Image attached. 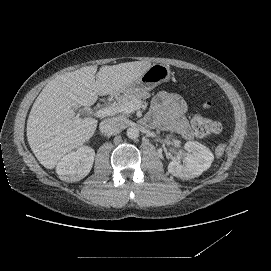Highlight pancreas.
<instances>
[{"label": "pancreas", "instance_id": "cf45deb5", "mask_svg": "<svg viewBox=\"0 0 271 271\" xmlns=\"http://www.w3.org/2000/svg\"><path fill=\"white\" fill-rule=\"evenodd\" d=\"M147 96H148V94L146 92H140V93H135V94H126L118 100L117 106L119 107V109H121V106L124 104H128L130 106H131V104H133V105L137 106L138 104L141 103L142 99H144ZM136 109L137 108L132 106V109H128L126 112H123V113L130 116L129 113L132 112V110H136Z\"/></svg>", "mask_w": 271, "mask_h": 271}]
</instances>
